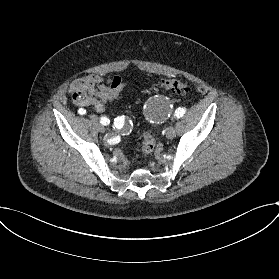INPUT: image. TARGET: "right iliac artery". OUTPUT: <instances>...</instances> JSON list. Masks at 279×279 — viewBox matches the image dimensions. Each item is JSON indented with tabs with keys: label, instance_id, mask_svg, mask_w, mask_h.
Masks as SVG:
<instances>
[{
	"label": "right iliac artery",
	"instance_id": "1",
	"mask_svg": "<svg viewBox=\"0 0 279 279\" xmlns=\"http://www.w3.org/2000/svg\"><path fill=\"white\" fill-rule=\"evenodd\" d=\"M81 115L85 114L86 113V110L80 108L79 111H78ZM100 123L102 125H108L110 123V120L107 118V117H101V120H100ZM113 126L115 129L117 130H122L125 128L126 126V121L124 118L122 117H117L114 119L113 121Z\"/></svg>",
	"mask_w": 279,
	"mask_h": 279
}]
</instances>
